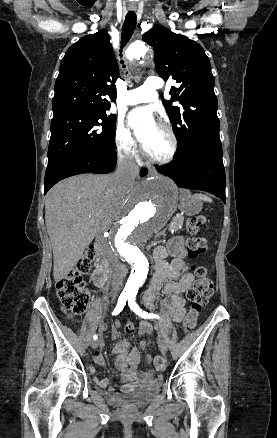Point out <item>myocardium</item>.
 I'll return each mask as SVG.
<instances>
[{
	"instance_id": "obj_1",
	"label": "myocardium",
	"mask_w": 277,
	"mask_h": 438,
	"mask_svg": "<svg viewBox=\"0 0 277 438\" xmlns=\"http://www.w3.org/2000/svg\"><path fill=\"white\" fill-rule=\"evenodd\" d=\"M156 126L158 128H160L161 130H163L169 136V138L171 140V151H170L169 155L163 159L152 157L145 151L143 144H141V153L149 162H151L153 164H158V165L169 164L175 159V157L177 155L178 147H179L178 138H177L174 130L170 126H168L167 124L158 123Z\"/></svg>"
}]
</instances>
